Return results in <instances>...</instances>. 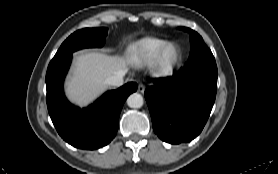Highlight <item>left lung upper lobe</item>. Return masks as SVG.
Returning a JSON list of instances; mask_svg holds the SVG:
<instances>
[{"label":"left lung upper lobe","instance_id":"left-lung-upper-lobe-1","mask_svg":"<svg viewBox=\"0 0 278 174\" xmlns=\"http://www.w3.org/2000/svg\"><path fill=\"white\" fill-rule=\"evenodd\" d=\"M180 29L188 31L190 33L191 42L189 59L184 68L200 66L205 67L209 70L217 71L214 56L211 50L204 43L202 37L197 32L189 28L183 27Z\"/></svg>","mask_w":278,"mask_h":174}]
</instances>
